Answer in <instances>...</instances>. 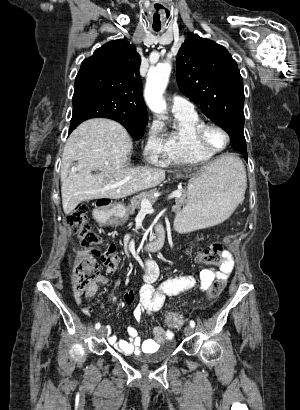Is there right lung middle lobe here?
Instances as JSON below:
<instances>
[{
  "mask_svg": "<svg viewBox=\"0 0 300 410\" xmlns=\"http://www.w3.org/2000/svg\"><path fill=\"white\" fill-rule=\"evenodd\" d=\"M113 106L114 104L110 102L109 97L100 89L91 86L75 87L73 114L69 132L87 119L105 117L121 123L133 137H142L148 120L117 116L112 112Z\"/></svg>",
  "mask_w": 300,
  "mask_h": 410,
  "instance_id": "1",
  "label": "right lung middle lobe"
}]
</instances>
